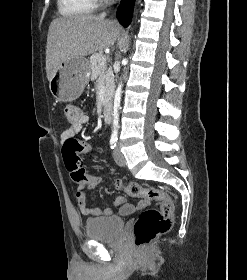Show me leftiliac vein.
<instances>
[{"label": "left iliac vein", "mask_w": 247, "mask_h": 280, "mask_svg": "<svg viewBox=\"0 0 247 280\" xmlns=\"http://www.w3.org/2000/svg\"><path fill=\"white\" fill-rule=\"evenodd\" d=\"M113 157H114L115 162L119 166H125L126 165V160H125L123 154L120 152V148H119L118 145L113 151Z\"/></svg>", "instance_id": "1"}]
</instances>
